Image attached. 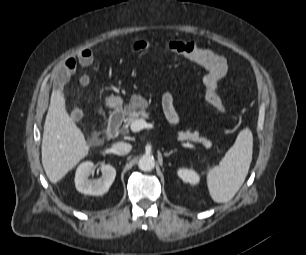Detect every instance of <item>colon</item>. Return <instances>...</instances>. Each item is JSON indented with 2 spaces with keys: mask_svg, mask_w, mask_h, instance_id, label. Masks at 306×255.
Masks as SVG:
<instances>
[{
  "mask_svg": "<svg viewBox=\"0 0 306 255\" xmlns=\"http://www.w3.org/2000/svg\"><path fill=\"white\" fill-rule=\"evenodd\" d=\"M168 48L176 54L193 61L207 71L203 78L205 99L219 113L226 115L227 108L218 94V83L227 72L226 60L190 41H172L168 43ZM132 49L137 53H143L149 49V43L145 40H136L132 45Z\"/></svg>",
  "mask_w": 306,
  "mask_h": 255,
  "instance_id": "colon-1",
  "label": "colon"
}]
</instances>
